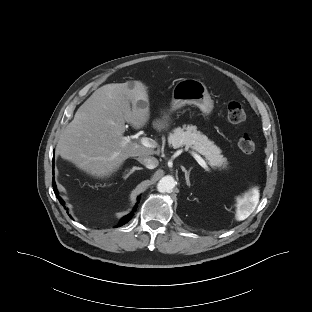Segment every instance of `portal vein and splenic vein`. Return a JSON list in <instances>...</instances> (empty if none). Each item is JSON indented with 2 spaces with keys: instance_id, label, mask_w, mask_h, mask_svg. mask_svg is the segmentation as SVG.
I'll return each mask as SVG.
<instances>
[{
  "instance_id": "18ae733b",
  "label": "portal vein and splenic vein",
  "mask_w": 312,
  "mask_h": 312,
  "mask_svg": "<svg viewBox=\"0 0 312 312\" xmlns=\"http://www.w3.org/2000/svg\"><path fill=\"white\" fill-rule=\"evenodd\" d=\"M127 141H130V139L128 138ZM140 143L147 148H155L157 145L153 139L148 138V137H142L140 139ZM192 155L196 159V161L199 163L200 166H202L204 169H208L207 163L205 162L204 159L201 158L200 155L194 152L192 153Z\"/></svg>"
}]
</instances>
